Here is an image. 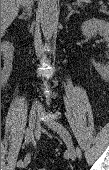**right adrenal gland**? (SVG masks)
I'll return each mask as SVG.
<instances>
[{
	"label": "right adrenal gland",
	"mask_w": 109,
	"mask_h": 170,
	"mask_svg": "<svg viewBox=\"0 0 109 170\" xmlns=\"http://www.w3.org/2000/svg\"><path fill=\"white\" fill-rule=\"evenodd\" d=\"M28 16H29V14H27V16H25L24 13H23V15L19 16L18 18L21 19V20L22 19L26 20V19H28Z\"/></svg>",
	"instance_id": "obj_1"
}]
</instances>
